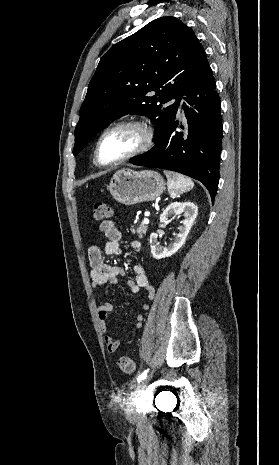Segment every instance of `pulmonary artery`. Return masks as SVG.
<instances>
[{
	"label": "pulmonary artery",
	"mask_w": 279,
	"mask_h": 465,
	"mask_svg": "<svg viewBox=\"0 0 279 465\" xmlns=\"http://www.w3.org/2000/svg\"><path fill=\"white\" fill-rule=\"evenodd\" d=\"M179 109H180V110L182 109L181 105H180Z\"/></svg>",
	"instance_id": "pulmonary-artery-1"
}]
</instances>
